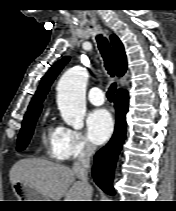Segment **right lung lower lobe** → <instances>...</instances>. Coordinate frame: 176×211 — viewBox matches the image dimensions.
I'll return each mask as SVG.
<instances>
[{"label": "right lung lower lobe", "instance_id": "1", "mask_svg": "<svg viewBox=\"0 0 176 211\" xmlns=\"http://www.w3.org/2000/svg\"><path fill=\"white\" fill-rule=\"evenodd\" d=\"M116 126L109 143L96 153L92 175L96 184L106 193L113 195L112 186L114 169L118 154L126 135L125 115L128 110V93L118 91L115 97Z\"/></svg>", "mask_w": 176, "mask_h": 211}]
</instances>
